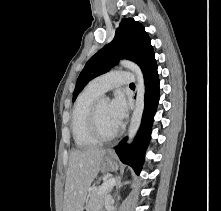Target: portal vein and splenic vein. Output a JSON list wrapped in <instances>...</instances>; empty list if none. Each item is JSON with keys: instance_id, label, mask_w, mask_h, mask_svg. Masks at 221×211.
<instances>
[{"instance_id": "1", "label": "portal vein and splenic vein", "mask_w": 221, "mask_h": 211, "mask_svg": "<svg viewBox=\"0 0 221 211\" xmlns=\"http://www.w3.org/2000/svg\"><path fill=\"white\" fill-rule=\"evenodd\" d=\"M115 183V178H109L108 180H106L99 188V194L105 193L108 190V188L112 187Z\"/></svg>"}]
</instances>
